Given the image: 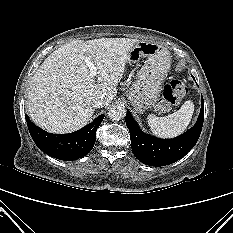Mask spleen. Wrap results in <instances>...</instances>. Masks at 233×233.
<instances>
[{"mask_svg": "<svg viewBox=\"0 0 233 233\" xmlns=\"http://www.w3.org/2000/svg\"><path fill=\"white\" fill-rule=\"evenodd\" d=\"M194 112V103L185 101L179 110L165 117L150 114L147 117L151 131L159 137H175L183 133L189 125Z\"/></svg>", "mask_w": 233, "mask_h": 233, "instance_id": "1", "label": "spleen"}]
</instances>
